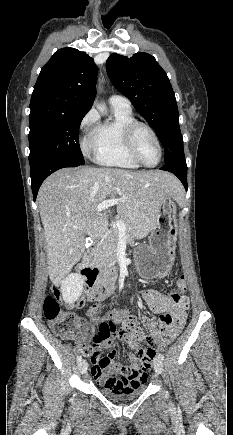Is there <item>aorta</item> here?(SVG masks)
<instances>
[{"label": "aorta", "mask_w": 233, "mask_h": 435, "mask_svg": "<svg viewBox=\"0 0 233 435\" xmlns=\"http://www.w3.org/2000/svg\"><path fill=\"white\" fill-rule=\"evenodd\" d=\"M100 112H101V113H105V112H106V108H105V107H101V108H100Z\"/></svg>", "instance_id": "aorta-1"}]
</instances>
